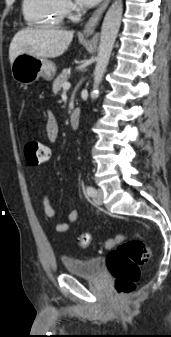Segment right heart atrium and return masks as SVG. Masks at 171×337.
Here are the masks:
<instances>
[{
  "label": "right heart atrium",
  "mask_w": 171,
  "mask_h": 337,
  "mask_svg": "<svg viewBox=\"0 0 171 337\" xmlns=\"http://www.w3.org/2000/svg\"><path fill=\"white\" fill-rule=\"evenodd\" d=\"M62 6L68 17H73L76 12V6L71 0H62Z\"/></svg>",
  "instance_id": "1"
}]
</instances>
